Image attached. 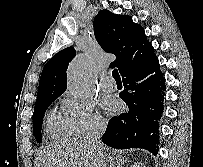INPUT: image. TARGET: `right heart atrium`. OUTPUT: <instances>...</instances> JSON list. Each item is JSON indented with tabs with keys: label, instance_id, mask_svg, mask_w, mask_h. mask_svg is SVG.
<instances>
[{
	"label": "right heart atrium",
	"instance_id": "right-heart-atrium-1",
	"mask_svg": "<svg viewBox=\"0 0 203 167\" xmlns=\"http://www.w3.org/2000/svg\"><path fill=\"white\" fill-rule=\"evenodd\" d=\"M61 109L72 135L81 136L91 131L104 129L106 126V120L91 99L65 94L61 101Z\"/></svg>",
	"mask_w": 203,
	"mask_h": 167
}]
</instances>
